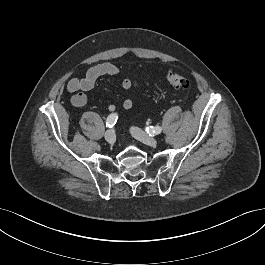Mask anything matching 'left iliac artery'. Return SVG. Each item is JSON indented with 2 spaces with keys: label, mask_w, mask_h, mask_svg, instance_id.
<instances>
[{
  "label": "left iliac artery",
  "mask_w": 265,
  "mask_h": 265,
  "mask_svg": "<svg viewBox=\"0 0 265 265\" xmlns=\"http://www.w3.org/2000/svg\"><path fill=\"white\" fill-rule=\"evenodd\" d=\"M162 131V128L159 126L153 127V126H149L146 128V132L150 135V136H154L155 134H160Z\"/></svg>",
  "instance_id": "left-iliac-artery-1"
}]
</instances>
